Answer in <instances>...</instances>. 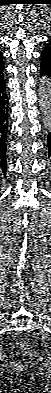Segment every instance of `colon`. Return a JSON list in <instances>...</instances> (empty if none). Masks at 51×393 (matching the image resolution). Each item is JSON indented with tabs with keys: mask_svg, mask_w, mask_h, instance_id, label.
I'll return each instance as SVG.
<instances>
[{
	"mask_svg": "<svg viewBox=\"0 0 51 393\" xmlns=\"http://www.w3.org/2000/svg\"><path fill=\"white\" fill-rule=\"evenodd\" d=\"M17 346L22 354H30L31 350L28 341H20Z\"/></svg>",
	"mask_w": 51,
	"mask_h": 393,
	"instance_id": "colon-1",
	"label": "colon"
}]
</instances>
